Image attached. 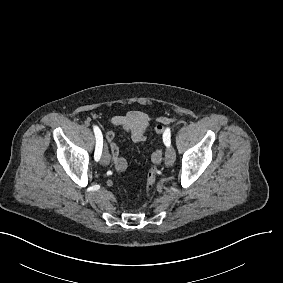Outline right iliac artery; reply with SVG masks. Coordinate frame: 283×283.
<instances>
[{
  "instance_id": "82829eb1",
  "label": "right iliac artery",
  "mask_w": 283,
  "mask_h": 283,
  "mask_svg": "<svg viewBox=\"0 0 283 283\" xmlns=\"http://www.w3.org/2000/svg\"><path fill=\"white\" fill-rule=\"evenodd\" d=\"M94 133L96 137V147H95L94 158L96 161H98L102 154L103 136H102L101 130L97 126H94Z\"/></svg>"
}]
</instances>
